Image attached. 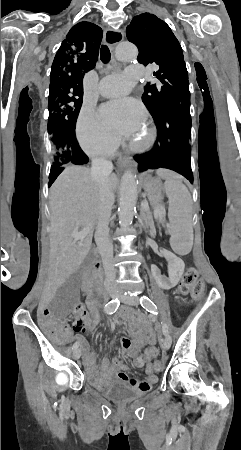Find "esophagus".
Returning <instances> with one entry per match:
<instances>
[{"instance_id": "1", "label": "esophagus", "mask_w": 241, "mask_h": 450, "mask_svg": "<svg viewBox=\"0 0 241 450\" xmlns=\"http://www.w3.org/2000/svg\"><path fill=\"white\" fill-rule=\"evenodd\" d=\"M124 38L122 30H113L112 28H107L104 31L103 40L110 47L112 51H114L116 45L120 43ZM133 160L131 157H125L118 162L119 168L127 167L128 165H132Z\"/></svg>"}]
</instances>
